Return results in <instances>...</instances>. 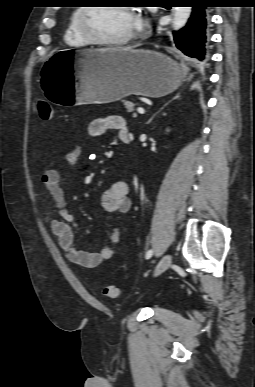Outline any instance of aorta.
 <instances>
[{"mask_svg":"<svg viewBox=\"0 0 255 387\" xmlns=\"http://www.w3.org/2000/svg\"><path fill=\"white\" fill-rule=\"evenodd\" d=\"M192 12L191 7H175L173 29L179 30L185 26Z\"/></svg>","mask_w":255,"mask_h":387,"instance_id":"obj_1","label":"aorta"}]
</instances>
